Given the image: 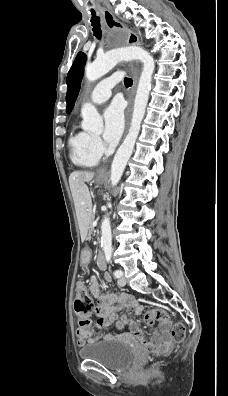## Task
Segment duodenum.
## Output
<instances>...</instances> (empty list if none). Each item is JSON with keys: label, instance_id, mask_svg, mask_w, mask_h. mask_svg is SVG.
<instances>
[{"label": "duodenum", "instance_id": "duodenum-1", "mask_svg": "<svg viewBox=\"0 0 228 396\" xmlns=\"http://www.w3.org/2000/svg\"><path fill=\"white\" fill-rule=\"evenodd\" d=\"M98 267H99L101 270H104L105 267H106L105 260L102 258V256H99V257H98Z\"/></svg>", "mask_w": 228, "mask_h": 396}]
</instances>
